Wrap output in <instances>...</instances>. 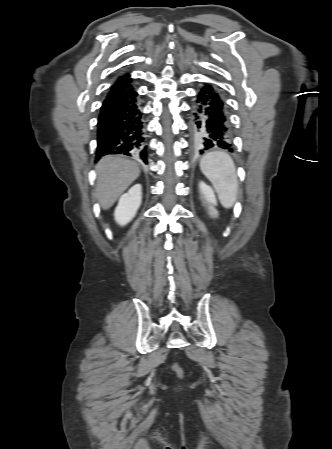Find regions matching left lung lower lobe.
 Wrapping results in <instances>:
<instances>
[{
    "label": "left lung lower lobe",
    "instance_id": "1",
    "mask_svg": "<svg viewBox=\"0 0 332 449\" xmlns=\"http://www.w3.org/2000/svg\"><path fill=\"white\" fill-rule=\"evenodd\" d=\"M192 149L202 154L211 148L232 152V135L224 98L218 88L205 83L195 97L190 119Z\"/></svg>",
    "mask_w": 332,
    "mask_h": 449
}]
</instances>
